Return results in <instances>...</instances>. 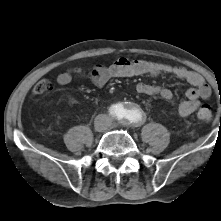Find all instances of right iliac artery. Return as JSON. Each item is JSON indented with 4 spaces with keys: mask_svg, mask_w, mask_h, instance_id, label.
Instances as JSON below:
<instances>
[{
    "mask_svg": "<svg viewBox=\"0 0 221 221\" xmlns=\"http://www.w3.org/2000/svg\"><path fill=\"white\" fill-rule=\"evenodd\" d=\"M109 113L113 116L121 117L123 110L117 105H112L109 109Z\"/></svg>",
    "mask_w": 221,
    "mask_h": 221,
    "instance_id": "82829eb1",
    "label": "right iliac artery"
}]
</instances>
